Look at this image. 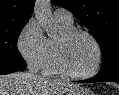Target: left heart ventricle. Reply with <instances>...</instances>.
Wrapping results in <instances>:
<instances>
[{
	"mask_svg": "<svg viewBox=\"0 0 119 95\" xmlns=\"http://www.w3.org/2000/svg\"><path fill=\"white\" fill-rule=\"evenodd\" d=\"M65 61L76 73H86L93 69L97 52L93 42L84 35H77L65 45Z\"/></svg>",
	"mask_w": 119,
	"mask_h": 95,
	"instance_id": "b2bd125f",
	"label": "left heart ventricle"
}]
</instances>
